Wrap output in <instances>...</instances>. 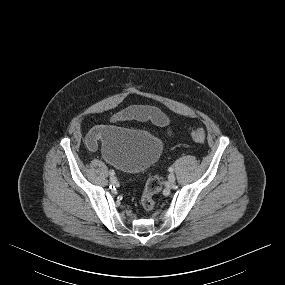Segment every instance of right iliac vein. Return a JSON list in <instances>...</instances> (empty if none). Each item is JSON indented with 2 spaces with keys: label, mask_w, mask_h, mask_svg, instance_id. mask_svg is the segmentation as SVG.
<instances>
[{
  "label": "right iliac vein",
  "mask_w": 285,
  "mask_h": 285,
  "mask_svg": "<svg viewBox=\"0 0 285 285\" xmlns=\"http://www.w3.org/2000/svg\"><path fill=\"white\" fill-rule=\"evenodd\" d=\"M110 182L115 183L116 182V177L113 175L110 177Z\"/></svg>",
  "instance_id": "obj_1"
}]
</instances>
